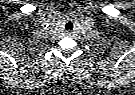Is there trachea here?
I'll return each instance as SVG.
<instances>
[{"mask_svg": "<svg viewBox=\"0 0 135 95\" xmlns=\"http://www.w3.org/2000/svg\"><path fill=\"white\" fill-rule=\"evenodd\" d=\"M65 29L66 30H72L73 29V24L71 22L66 23Z\"/></svg>", "mask_w": 135, "mask_h": 95, "instance_id": "trachea-1", "label": "trachea"}]
</instances>
